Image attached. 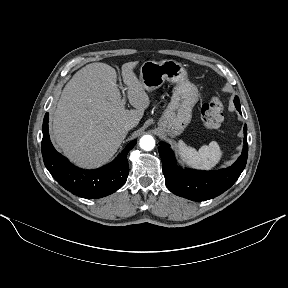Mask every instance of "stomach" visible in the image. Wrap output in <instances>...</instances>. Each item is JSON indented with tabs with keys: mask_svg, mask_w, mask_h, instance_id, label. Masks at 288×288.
<instances>
[{
	"mask_svg": "<svg viewBox=\"0 0 288 288\" xmlns=\"http://www.w3.org/2000/svg\"><path fill=\"white\" fill-rule=\"evenodd\" d=\"M139 80L147 91L158 89L165 80L176 83L158 125L168 136L180 135L191 122L192 110L199 97L198 89L188 80L184 66L175 60L146 61L140 68Z\"/></svg>",
	"mask_w": 288,
	"mask_h": 288,
	"instance_id": "obj_1",
	"label": "stomach"
}]
</instances>
